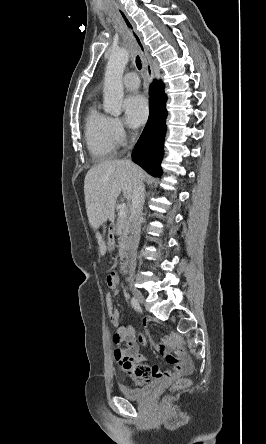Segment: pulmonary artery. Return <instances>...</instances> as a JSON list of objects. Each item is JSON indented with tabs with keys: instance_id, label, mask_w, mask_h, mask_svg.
Returning <instances> with one entry per match:
<instances>
[{
	"instance_id": "pulmonary-artery-1",
	"label": "pulmonary artery",
	"mask_w": 266,
	"mask_h": 444,
	"mask_svg": "<svg viewBox=\"0 0 266 444\" xmlns=\"http://www.w3.org/2000/svg\"><path fill=\"white\" fill-rule=\"evenodd\" d=\"M123 85L128 89H137L139 87V78L138 75L134 72H130L125 74L122 80Z\"/></svg>"
}]
</instances>
